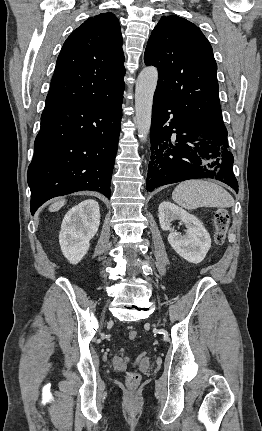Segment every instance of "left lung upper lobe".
<instances>
[{"label": "left lung upper lobe", "instance_id": "5c2ea615", "mask_svg": "<svg viewBox=\"0 0 262 431\" xmlns=\"http://www.w3.org/2000/svg\"><path fill=\"white\" fill-rule=\"evenodd\" d=\"M146 65L159 70L155 92L193 125L205 131L225 128L219 103L217 64L201 30L178 16H164L151 33Z\"/></svg>", "mask_w": 262, "mask_h": 431}]
</instances>
